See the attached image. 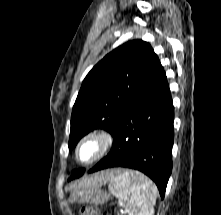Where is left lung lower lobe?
I'll list each match as a JSON object with an SVG mask.
<instances>
[{"label": "left lung lower lobe", "mask_w": 221, "mask_h": 215, "mask_svg": "<svg viewBox=\"0 0 221 215\" xmlns=\"http://www.w3.org/2000/svg\"><path fill=\"white\" fill-rule=\"evenodd\" d=\"M173 120L170 89L158 59L122 109L110 153L89 173L111 167L139 170L156 183L163 199L172 172Z\"/></svg>", "instance_id": "left-lung-lower-lobe-1"}]
</instances>
